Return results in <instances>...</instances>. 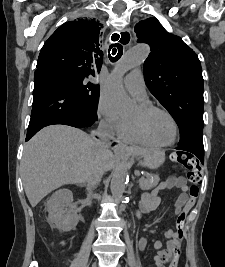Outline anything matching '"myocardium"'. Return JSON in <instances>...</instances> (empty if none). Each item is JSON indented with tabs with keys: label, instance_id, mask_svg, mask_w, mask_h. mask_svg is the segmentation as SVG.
Masks as SVG:
<instances>
[{
	"label": "myocardium",
	"instance_id": "f54148a6",
	"mask_svg": "<svg viewBox=\"0 0 225 267\" xmlns=\"http://www.w3.org/2000/svg\"><path fill=\"white\" fill-rule=\"evenodd\" d=\"M139 109H140V112H141V116L138 119H134V122L136 123L138 129L143 134V136L151 144H153L154 146H156L158 148H164V147L172 146L177 142V140L179 138V133H180L179 125H178V122H177L176 118L168 110H166V109H164L162 107H159V106L148 105V104L147 105H141L139 107ZM154 112H161V113L165 114L173 122V125H174V128H175V136H174V139L171 142H169V143H157L149 135L147 127H146L145 120L150 114H152Z\"/></svg>",
	"mask_w": 225,
	"mask_h": 267
}]
</instances>
